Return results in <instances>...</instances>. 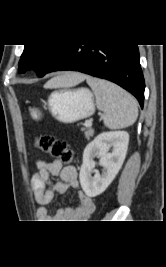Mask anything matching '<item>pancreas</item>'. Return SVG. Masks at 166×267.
<instances>
[{"instance_id": "pancreas-1", "label": "pancreas", "mask_w": 166, "mask_h": 267, "mask_svg": "<svg viewBox=\"0 0 166 267\" xmlns=\"http://www.w3.org/2000/svg\"><path fill=\"white\" fill-rule=\"evenodd\" d=\"M82 131H84L85 137L86 139H89L91 136H93L94 130L89 128L87 130H85L84 128L82 129Z\"/></svg>"}]
</instances>
